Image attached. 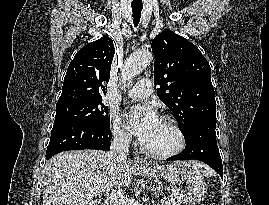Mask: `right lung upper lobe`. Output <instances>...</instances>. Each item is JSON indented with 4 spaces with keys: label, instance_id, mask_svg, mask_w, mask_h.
Masks as SVG:
<instances>
[{
    "label": "right lung upper lobe",
    "instance_id": "cb5924a9",
    "mask_svg": "<svg viewBox=\"0 0 269 205\" xmlns=\"http://www.w3.org/2000/svg\"><path fill=\"white\" fill-rule=\"evenodd\" d=\"M114 51L113 41L108 36L81 48L67 69L56 107L102 100Z\"/></svg>",
    "mask_w": 269,
    "mask_h": 205
}]
</instances>
